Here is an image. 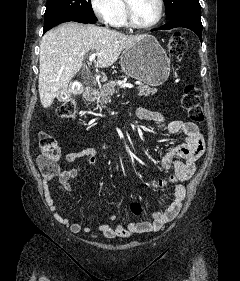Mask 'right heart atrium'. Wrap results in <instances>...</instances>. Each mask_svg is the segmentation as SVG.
I'll list each match as a JSON object with an SVG mask.
<instances>
[{
    "label": "right heart atrium",
    "instance_id": "right-heart-atrium-1",
    "mask_svg": "<svg viewBox=\"0 0 240 281\" xmlns=\"http://www.w3.org/2000/svg\"><path fill=\"white\" fill-rule=\"evenodd\" d=\"M116 0H89L90 8L96 18L104 24H112L116 14Z\"/></svg>",
    "mask_w": 240,
    "mask_h": 281
}]
</instances>
